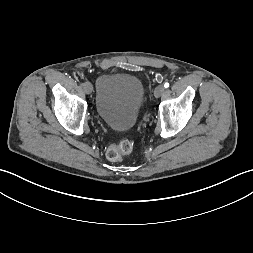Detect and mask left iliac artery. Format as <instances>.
I'll return each mask as SVG.
<instances>
[{
	"mask_svg": "<svg viewBox=\"0 0 253 253\" xmlns=\"http://www.w3.org/2000/svg\"><path fill=\"white\" fill-rule=\"evenodd\" d=\"M164 87H165V88H168V87H169V83H165V84H164Z\"/></svg>",
	"mask_w": 253,
	"mask_h": 253,
	"instance_id": "44dca946",
	"label": "left iliac artery"
}]
</instances>
